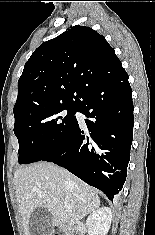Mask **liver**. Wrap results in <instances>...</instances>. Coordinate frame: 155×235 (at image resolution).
Returning <instances> with one entry per match:
<instances>
[{
    "label": "liver",
    "mask_w": 155,
    "mask_h": 235,
    "mask_svg": "<svg viewBox=\"0 0 155 235\" xmlns=\"http://www.w3.org/2000/svg\"><path fill=\"white\" fill-rule=\"evenodd\" d=\"M14 184L25 235H30L29 220L37 207L50 211L53 226L69 228L100 206L95 189L53 163L17 169Z\"/></svg>",
    "instance_id": "obj_1"
}]
</instances>
